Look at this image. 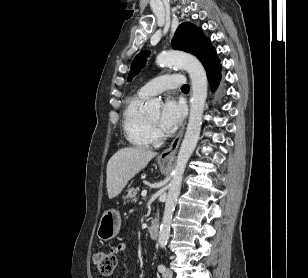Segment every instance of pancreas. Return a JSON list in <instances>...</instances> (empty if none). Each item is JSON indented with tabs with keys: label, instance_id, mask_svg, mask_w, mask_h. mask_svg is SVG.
Listing matches in <instances>:
<instances>
[{
	"label": "pancreas",
	"instance_id": "pancreas-1",
	"mask_svg": "<svg viewBox=\"0 0 308 278\" xmlns=\"http://www.w3.org/2000/svg\"><path fill=\"white\" fill-rule=\"evenodd\" d=\"M139 188L131 187L127 190V195L124 197L125 202H136L137 201V193Z\"/></svg>",
	"mask_w": 308,
	"mask_h": 278
}]
</instances>
